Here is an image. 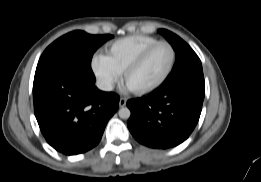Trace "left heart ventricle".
<instances>
[{
	"instance_id": "obj_1",
	"label": "left heart ventricle",
	"mask_w": 261,
	"mask_h": 182,
	"mask_svg": "<svg viewBox=\"0 0 261 182\" xmlns=\"http://www.w3.org/2000/svg\"><path fill=\"white\" fill-rule=\"evenodd\" d=\"M172 57L167 46H160L147 58L143 65L127 79L131 89H142L156 83L166 72Z\"/></svg>"
}]
</instances>
